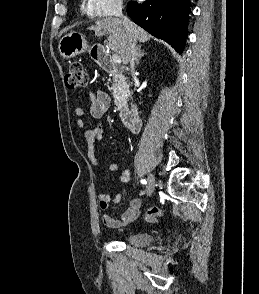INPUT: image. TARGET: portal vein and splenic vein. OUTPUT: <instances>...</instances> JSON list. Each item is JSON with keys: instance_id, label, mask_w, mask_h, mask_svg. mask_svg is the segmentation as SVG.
Returning a JSON list of instances; mask_svg holds the SVG:
<instances>
[{"instance_id": "obj_1", "label": "portal vein and splenic vein", "mask_w": 259, "mask_h": 294, "mask_svg": "<svg viewBox=\"0 0 259 294\" xmlns=\"http://www.w3.org/2000/svg\"><path fill=\"white\" fill-rule=\"evenodd\" d=\"M111 61L113 63H116V64H120L122 62L121 60V57L117 54H114L112 57H111Z\"/></svg>"}]
</instances>
